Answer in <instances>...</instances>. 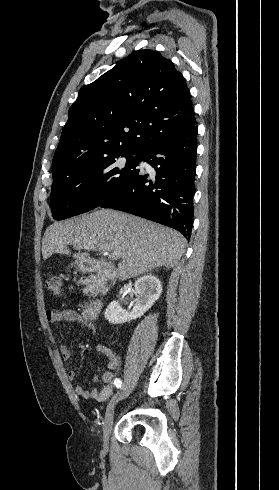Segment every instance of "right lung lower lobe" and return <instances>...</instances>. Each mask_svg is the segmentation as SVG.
<instances>
[{
  "label": "right lung lower lobe",
  "mask_w": 279,
  "mask_h": 490,
  "mask_svg": "<svg viewBox=\"0 0 279 490\" xmlns=\"http://www.w3.org/2000/svg\"><path fill=\"white\" fill-rule=\"evenodd\" d=\"M197 126L152 147L140 160L155 170V180L139 173L99 207L112 208L178 230L187 240L193 226Z\"/></svg>",
  "instance_id": "1"
}]
</instances>
